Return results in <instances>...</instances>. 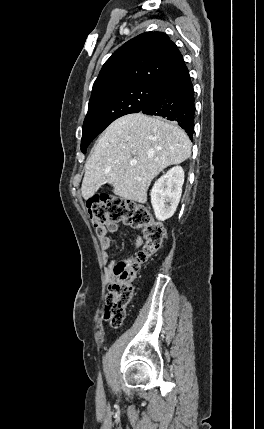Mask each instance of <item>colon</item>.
<instances>
[{
  "instance_id": "5ec220e1",
  "label": "colon",
  "mask_w": 264,
  "mask_h": 429,
  "mask_svg": "<svg viewBox=\"0 0 264 429\" xmlns=\"http://www.w3.org/2000/svg\"><path fill=\"white\" fill-rule=\"evenodd\" d=\"M87 210L97 233H102L108 222L122 221L133 228L142 229L145 238L139 252L113 266L114 279L106 294L104 319L111 326L120 327L133 295L136 275L141 265L160 248L165 228L153 219L145 207L115 196H95L87 202Z\"/></svg>"
}]
</instances>
